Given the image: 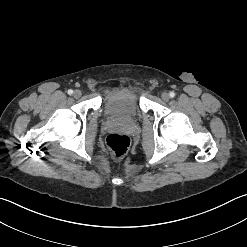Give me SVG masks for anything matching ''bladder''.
Listing matches in <instances>:
<instances>
[{
    "mask_svg": "<svg viewBox=\"0 0 247 247\" xmlns=\"http://www.w3.org/2000/svg\"><path fill=\"white\" fill-rule=\"evenodd\" d=\"M104 110L108 116L127 119L135 117L140 110L139 94L131 87H113L105 91Z\"/></svg>",
    "mask_w": 247,
    "mask_h": 247,
    "instance_id": "1",
    "label": "bladder"
}]
</instances>
